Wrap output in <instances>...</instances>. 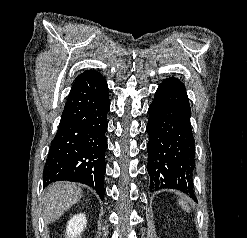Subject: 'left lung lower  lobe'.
<instances>
[{"label": "left lung lower lobe", "instance_id": "1", "mask_svg": "<svg viewBox=\"0 0 247 238\" xmlns=\"http://www.w3.org/2000/svg\"><path fill=\"white\" fill-rule=\"evenodd\" d=\"M148 114L150 189L171 188L193 196L195 141L184 84L174 77L165 79L155 93Z\"/></svg>", "mask_w": 247, "mask_h": 238}]
</instances>
